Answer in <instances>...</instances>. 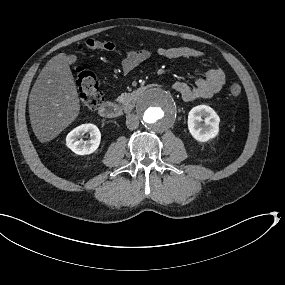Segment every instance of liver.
Instances as JSON below:
<instances>
[{
	"label": "liver",
	"mask_w": 285,
	"mask_h": 285,
	"mask_svg": "<svg viewBox=\"0 0 285 285\" xmlns=\"http://www.w3.org/2000/svg\"><path fill=\"white\" fill-rule=\"evenodd\" d=\"M80 107L68 56L59 53L43 67L29 95L30 122L37 140L55 139L75 121Z\"/></svg>",
	"instance_id": "obj_1"
}]
</instances>
